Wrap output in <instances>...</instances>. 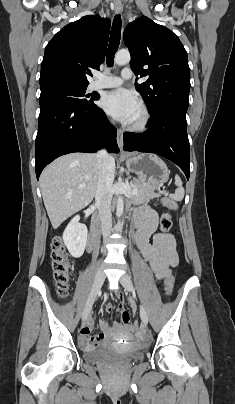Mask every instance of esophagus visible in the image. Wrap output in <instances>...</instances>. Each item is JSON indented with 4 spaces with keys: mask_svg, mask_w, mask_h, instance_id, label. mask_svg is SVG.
<instances>
[{
    "mask_svg": "<svg viewBox=\"0 0 235 404\" xmlns=\"http://www.w3.org/2000/svg\"><path fill=\"white\" fill-rule=\"evenodd\" d=\"M122 4L121 3H115V12L116 13H121L122 11ZM117 143L119 146V149L121 152H123V146H124V142H123V131L121 129H117Z\"/></svg>",
    "mask_w": 235,
    "mask_h": 404,
    "instance_id": "obj_1",
    "label": "esophagus"
}]
</instances>
